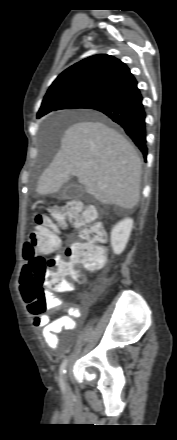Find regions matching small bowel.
I'll return each mask as SVG.
<instances>
[{"label": "small bowel", "mask_w": 177, "mask_h": 440, "mask_svg": "<svg viewBox=\"0 0 177 440\" xmlns=\"http://www.w3.org/2000/svg\"><path fill=\"white\" fill-rule=\"evenodd\" d=\"M73 289V285L70 283L66 289L60 292H67ZM52 300L49 305V309L53 312H58L60 309L65 313L62 316L53 317L51 314H41L35 316L34 325L42 329V336L46 344L54 351H58L62 346L68 345L72 342V337H67L64 340H60L58 334L67 331L73 332L78 328L76 319L81 317L82 313L78 307L74 306H61V302L58 298L51 296Z\"/></svg>", "instance_id": "small-bowel-1"}]
</instances>
